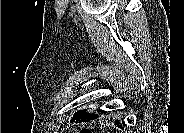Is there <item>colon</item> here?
I'll list each match as a JSON object with an SVG mask.
<instances>
[{
	"label": "colon",
	"mask_w": 184,
	"mask_h": 133,
	"mask_svg": "<svg viewBox=\"0 0 184 133\" xmlns=\"http://www.w3.org/2000/svg\"><path fill=\"white\" fill-rule=\"evenodd\" d=\"M81 132H82V133H91V131L88 130V129H83Z\"/></svg>",
	"instance_id": "5ec220e1"
}]
</instances>
